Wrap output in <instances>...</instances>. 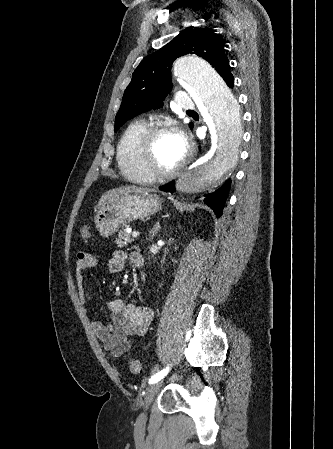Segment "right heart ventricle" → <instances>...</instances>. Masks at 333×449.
<instances>
[{
    "mask_svg": "<svg viewBox=\"0 0 333 449\" xmlns=\"http://www.w3.org/2000/svg\"><path fill=\"white\" fill-rule=\"evenodd\" d=\"M147 128L142 120L131 122L123 132L116 151L118 167L124 177L136 183H150L152 179L143 171L140 162V141Z\"/></svg>",
    "mask_w": 333,
    "mask_h": 449,
    "instance_id": "1",
    "label": "right heart ventricle"
}]
</instances>
